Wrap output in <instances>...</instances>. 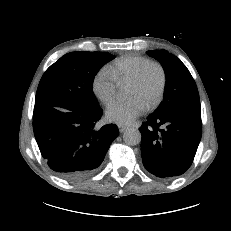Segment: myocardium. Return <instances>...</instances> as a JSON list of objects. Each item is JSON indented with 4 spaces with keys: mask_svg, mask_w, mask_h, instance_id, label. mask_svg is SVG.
I'll return each instance as SVG.
<instances>
[{
    "mask_svg": "<svg viewBox=\"0 0 231 231\" xmlns=\"http://www.w3.org/2000/svg\"><path fill=\"white\" fill-rule=\"evenodd\" d=\"M152 66L158 67L160 72H161V85H160L158 94L156 95L155 99L146 106L148 110H152V109L156 108L161 103V101H162V99L164 97V94H165V90H166V87H167V72H166V69L163 66V64L160 63L159 61L150 60L149 62L144 64L139 69V71L137 72L135 77L129 83L130 87H136V86L140 85V83L142 82L147 70Z\"/></svg>",
    "mask_w": 231,
    "mask_h": 231,
    "instance_id": "myocardium-1",
    "label": "myocardium"
}]
</instances>
